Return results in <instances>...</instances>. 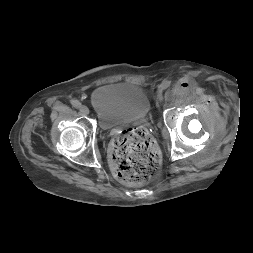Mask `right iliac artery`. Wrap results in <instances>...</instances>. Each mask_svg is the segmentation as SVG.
Here are the masks:
<instances>
[{"instance_id": "1", "label": "right iliac artery", "mask_w": 253, "mask_h": 253, "mask_svg": "<svg viewBox=\"0 0 253 253\" xmlns=\"http://www.w3.org/2000/svg\"><path fill=\"white\" fill-rule=\"evenodd\" d=\"M71 104L75 108H79L81 106V103L78 100H73Z\"/></svg>"}]
</instances>
